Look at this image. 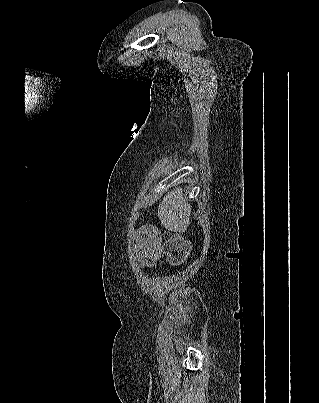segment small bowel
<instances>
[{"label":"small bowel","mask_w":319,"mask_h":403,"mask_svg":"<svg viewBox=\"0 0 319 403\" xmlns=\"http://www.w3.org/2000/svg\"><path fill=\"white\" fill-rule=\"evenodd\" d=\"M135 249L137 250L140 259L138 265L140 268L152 267L155 265V262L152 260L154 256L151 255L148 248H139L137 245Z\"/></svg>","instance_id":"c3829d8e"}]
</instances>
